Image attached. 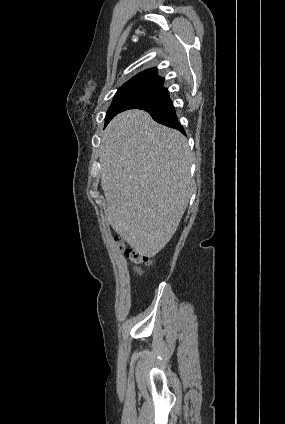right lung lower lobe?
Segmentation results:
<instances>
[{"instance_id": "obj_1", "label": "right lung lower lobe", "mask_w": 285, "mask_h": 424, "mask_svg": "<svg viewBox=\"0 0 285 424\" xmlns=\"http://www.w3.org/2000/svg\"><path fill=\"white\" fill-rule=\"evenodd\" d=\"M129 109H142L148 112L156 122L177 129L185 134L183 127L178 122L169 92L164 87L151 95L133 101L125 110Z\"/></svg>"}]
</instances>
